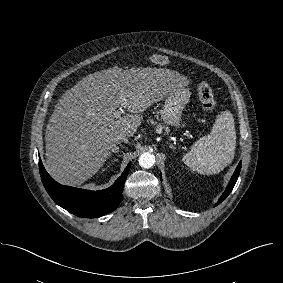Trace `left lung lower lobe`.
Instances as JSON below:
<instances>
[{
    "mask_svg": "<svg viewBox=\"0 0 283 283\" xmlns=\"http://www.w3.org/2000/svg\"><path fill=\"white\" fill-rule=\"evenodd\" d=\"M240 170H241V162L238 164L226 190L224 191V193L222 194V196L220 197L219 201L217 202V204L221 203L229 194L230 192L232 191L236 181H237V178L239 176V173H240Z\"/></svg>",
    "mask_w": 283,
    "mask_h": 283,
    "instance_id": "obj_1",
    "label": "left lung lower lobe"
}]
</instances>
